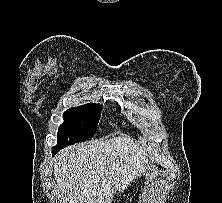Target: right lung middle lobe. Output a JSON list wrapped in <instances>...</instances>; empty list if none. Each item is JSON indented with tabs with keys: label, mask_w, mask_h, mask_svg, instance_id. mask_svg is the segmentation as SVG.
I'll return each instance as SVG.
<instances>
[{
	"label": "right lung middle lobe",
	"mask_w": 222,
	"mask_h": 203,
	"mask_svg": "<svg viewBox=\"0 0 222 203\" xmlns=\"http://www.w3.org/2000/svg\"><path fill=\"white\" fill-rule=\"evenodd\" d=\"M100 104L88 103L69 108L63 114L64 122L59 126L56 148L62 149L68 145L91 139L101 116Z\"/></svg>",
	"instance_id": "right-lung-middle-lobe-1"
}]
</instances>
